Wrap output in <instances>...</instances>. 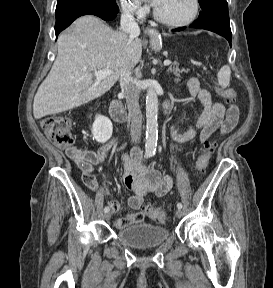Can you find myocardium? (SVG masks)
<instances>
[{
	"label": "myocardium",
	"instance_id": "f54148a6",
	"mask_svg": "<svg viewBox=\"0 0 273 288\" xmlns=\"http://www.w3.org/2000/svg\"><path fill=\"white\" fill-rule=\"evenodd\" d=\"M193 4H194V9H193L192 14L184 20L173 21V20L166 19V18L162 17L157 12V10L155 8L153 10V17L157 22H159L163 25L169 26V27H184V26H187L190 23H192L197 18L198 14H199L200 1L199 0H193Z\"/></svg>",
	"mask_w": 273,
	"mask_h": 288
}]
</instances>
